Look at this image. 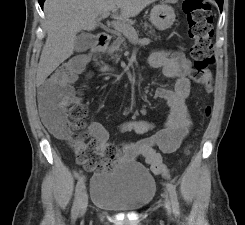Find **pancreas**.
<instances>
[{
    "instance_id": "obj_1",
    "label": "pancreas",
    "mask_w": 245,
    "mask_h": 225,
    "mask_svg": "<svg viewBox=\"0 0 245 225\" xmlns=\"http://www.w3.org/2000/svg\"><path fill=\"white\" fill-rule=\"evenodd\" d=\"M145 28L149 27L151 28L150 25L145 23L144 25ZM154 30H150L149 34H153ZM117 38L113 41V43L108 47L107 49V54L111 56V59H113L116 63L120 60V55L123 50L127 49L126 42H125V37L120 33H116Z\"/></svg>"
}]
</instances>
